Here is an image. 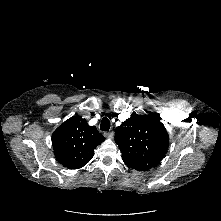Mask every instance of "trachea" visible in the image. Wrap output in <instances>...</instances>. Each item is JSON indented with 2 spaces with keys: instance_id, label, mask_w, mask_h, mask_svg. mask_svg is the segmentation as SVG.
Masks as SVG:
<instances>
[{
  "instance_id": "obj_1",
  "label": "trachea",
  "mask_w": 221,
  "mask_h": 221,
  "mask_svg": "<svg viewBox=\"0 0 221 221\" xmlns=\"http://www.w3.org/2000/svg\"><path fill=\"white\" fill-rule=\"evenodd\" d=\"M100 129L102 131H108L110 129V121L107 117H104L101 120Z\"/></svg>"
}]
</instances>
